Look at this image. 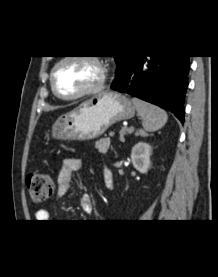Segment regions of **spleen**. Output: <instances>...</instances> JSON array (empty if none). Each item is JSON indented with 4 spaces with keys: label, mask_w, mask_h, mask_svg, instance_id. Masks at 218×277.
I'll return each instance as SVG.
<instances>
[{
    "label": "spleen",
    "mask_w": 218,
    "mask_h": 277,
    "mask_svg": "<svg viewBox=\"0 0 218 277\" xmlns=\"http://www.w3.org/2000/svg\"><path fill=\"white\" fill-rule=\"evenodd\" d=\"M132 102L142 119V125L145 131L154 132L166 124L168 116L163 109L138 98H133Z\"/></svg>",
    "instance_id": "spleen-1"
}]
</instances>
